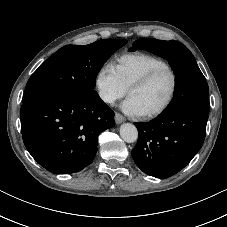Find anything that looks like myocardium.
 Listing matches in <instances>:
<instances>
[{
    "instance_id": "obj_1",
    "label": "myocardium",
    "mask_w": 227,
    "mask_h": 227,
    "mask_svg": "<svg viewBox=\"0 0 227 227\" xmlns=\"http://www.w3.org/2000/svg\"><path fill=\"white\" fill-rule=\"evenodd\" d=\"M162 71H168L172 76L173 85H172L171 92L169 94V97L161 107H159L158 109L152 112L142 114L144 118L151 119V118L158 117L169 109V107L171 106V104L175 99V96L178 90L179 81H178V75L176 71L169 65L154 68L149 72H147L146 74H144L143 76H141L140 78H138L136 81H134L128 88V95L130 96L133 90L144 87Z\"/></svg>"
}]
</instances>
